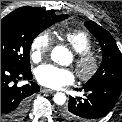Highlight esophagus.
Returning a JSON list of instances; mask_svg holds the SVG:
<instances>
[{
    "label": "esophagus",
    "mask_w": 122,
    "mask_h": 122,
    "mask_svg": "<svg viewBox=\"0 0 122 122\" xmlns=\"http://www.w3.org/2000/svg\"><path fill=\"white\" fill-rule=\"evenodd\" d=\"M41 91H42V92H47V93H54V92H55L54 90L48 89V88H45V87H42V88H41Z\"/></svg>",
    "instance_id": "34e87169"
}]
</instances>
